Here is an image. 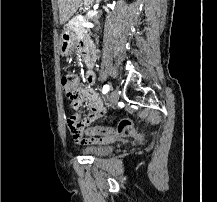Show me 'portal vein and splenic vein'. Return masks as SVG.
I'll list each match as a JSON object with an SVG mask.
<instances>
[{
    "mask_svg": "<svg viewBox=\"0 0 217 202\" xmlns=\"http://www.w3.org/2000/svg\"><path fill=\"white\" fill-rule=\"evenodd\" d=\"M79 24V22H77ZM81 26H84V28H90V26H86L85 22H82Z\"/></svg>",
    "mask_w": 217,
    "mask_h": 202,
    "instance_id": "1",
    "label": "portal vein and splenic vein"
}]
</instances>
